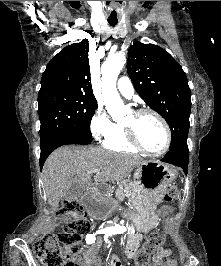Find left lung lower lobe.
Here are the masks:
<instances>
[{"mask_svg": "<svg viewBox=\"0 0 221 266\" xmlns=\"http://www.w3.org/2000/svg\"><path fill=\"white\" fill-rule=\"evenodd\" d=\"M189 150L187 143L178 145L168 151L162 159L163 162L181 167L187 174L188 171Z\"/></svg>", "mask_w": 221, "mask_h": 266, "instance_id": "0a47b994", "label": "left lung lower lobe"}]
</instances>
